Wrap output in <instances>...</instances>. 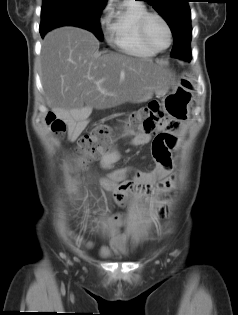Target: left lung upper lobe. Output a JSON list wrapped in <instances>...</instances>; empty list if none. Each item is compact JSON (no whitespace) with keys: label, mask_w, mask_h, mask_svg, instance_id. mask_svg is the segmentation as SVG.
Here are the masks:
<instances>
[{"label":"left lung upper lobe","mask_w":238,"mask_h":315,"mask_svg":"<svg viewBox=\"0 0 238 315\" xmlns=\"http://www.w3.org/2000/svg\"><path fill=\"white\" fill-rule=\"evenodd\" d=\"M151 4L166 20L173 35H183L191 41V18L188 0H143Z\"/></svg>","instance_id":"left-lung-upper-lobe-1"}]
</instances>
